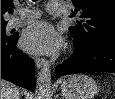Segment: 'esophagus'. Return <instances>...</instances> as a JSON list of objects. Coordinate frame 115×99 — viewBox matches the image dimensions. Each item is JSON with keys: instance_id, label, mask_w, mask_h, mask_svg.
<instances>
[{"instance_id": "obj_1", "label": "esophagus", "mask_w": 115, "mask_h": 99, "mask_svg": "<svg viewBox=\"0 0 115 99\" xmlns=\"http://www.w3.org/2000/svg\"><path fill=\"white\" fill-rule=\"evenodd\" d=\"M35 64L38 69L42 67H47L48 65L47 61L44 58H38V57L35 58Z\"/></svg>"}]
</instances>
